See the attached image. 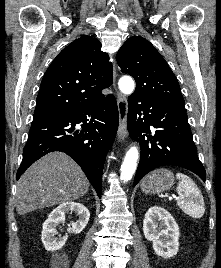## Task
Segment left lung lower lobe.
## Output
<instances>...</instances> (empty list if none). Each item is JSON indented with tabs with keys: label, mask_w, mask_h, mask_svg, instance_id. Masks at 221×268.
Returning a JSON list of instances; mask_svg holds the SVG:
<instances>
[{
	"label": "left lung lower lobe",
	"mask_w": 221,
	"mask_h": 268,
	"mask_svg": "<svg viewBox=\"0 0 221 268\" xmlns=\"http://www.w3.org/2000/svg\"><path fill=\"white\" fill-rule=\"evenodd\" d=\"M128 106L129 135L141 146L134 186L148 172L164 165L191 170L205 182V169L197 157L184 105L161 103L132 94Z\"/></svg>",
	"instance_id": "1"
}]
</instances>
